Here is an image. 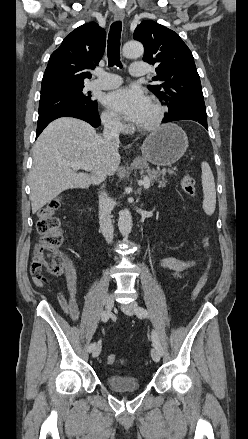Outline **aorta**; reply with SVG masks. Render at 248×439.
I'll list each match as a JSON object with an SVG mask.
<instances>
[{
    "mask_svg": "<svg viewBox=\"0 0 248 439\" xmlns=\"http://www.w3.org/2000/svg\"><path fill=\"white\" fill-rule=\"evenodd\" d=\"M144 52L143 45L138 41L127 42L123 46V55L126 58L140 57ZM132 216L129 209H123L119 212L118 227L122 235H128L132 230Z\"/></svg>",
    "mask_w": 248,
    "mask_h": 439,
    "instance_id": "obj_1",
    "label": "aorta"
}]
</instances>
